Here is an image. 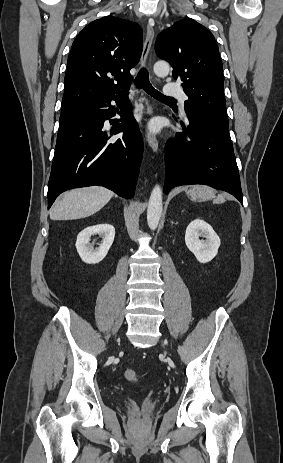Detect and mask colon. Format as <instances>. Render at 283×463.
Instances as JSON below:
<instances>
[{"label": "colon", "instance_id": "5ec220e1", "mask_svg": "<svg viewBox=\"0 0 283 463\" xmlns=\"http://www.w3.org/2000/svg\"><path fill=\"white\" fill-rule=\"evenodd\" d=\"M124 377L128 382L135 383L138 381V374L135 370L128 369L124 372Z\"/></svg>", "mask_w": 283, "mask_h": 463}]
</instances>
